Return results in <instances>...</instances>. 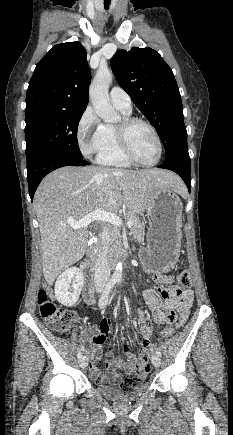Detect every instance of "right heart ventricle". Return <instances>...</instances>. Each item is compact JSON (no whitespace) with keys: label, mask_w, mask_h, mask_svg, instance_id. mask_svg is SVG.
Returning a JSON list of instances; mask_svg holds the SVG:
<instances>
[{"label":"right heart ventricle","mask_w":233,"mask_h":435,"mask_svg":"<svg viewBox=\"0 0 233 435\" xmlns=\"http://www.w3.org/2000/svg\"><path fill=\"white\" fill-rule=\"evenodd\" d=\"M124 116H129L130 113L122 111ZM98 163L104 166H113V167H130L132 163L126 159L122 150L120 148L116 132L115 126L109 123L103 124V147L98 154Z\"/></svg>","instance_id":"obj_1"}]
</instances>
